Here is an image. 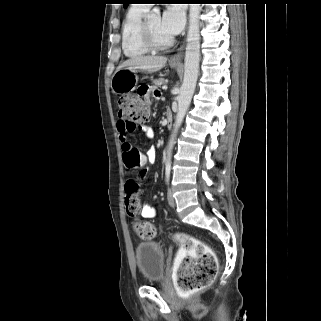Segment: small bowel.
I'll list each match as a JSON object with an SVG mask.
<instances>
[{
	"label": "small bowel",
	"mask_w": 321,
	"mask_h": 321,
	"mask_svg": "<svg viewBox=\"0 0 321 321\" xmlns=\"http://www.w3.org/2000/svg\"><path fill=\"white\" fill-rule=\"evenodd\" d=\"M135 92L138 95V97H146L143 100V103L145 105H148L150 103V100H149L150 90L147 87L146 83H137ZM154 95L156 97L160 96L159 92H156V91L154 92ZM142 130L147 138L151 139L154 137V131L151 127L145 126L142 128ZM117 131H118L119 141L121 143V150L123 153V159L125 162L127 157L131 153L136 152L138 150L135 147H133L128 141L129 134H130V132H132V130H129L125 126V124L120 120L117 122ZM142 156L145 159V161L147 162L149 159L155 157V151L151 150L148 152V154L142 155ZM145 174H146V169H143L141 171V176H145ZM140 216L142 218H146V219L154 218L156 216V209L152 206H149V205H143L140 209Z\"/></svg>",
	"instance_id": "small-bowel-1"
}]
</instances>
